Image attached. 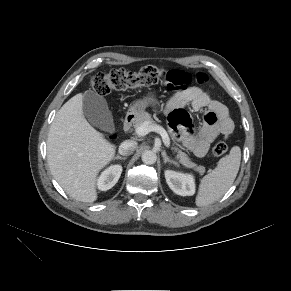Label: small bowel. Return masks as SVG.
Wrapping results in <instances>:
<instances>
[{
  "label": "small bowel",
  "instance_id": "small-bowel-1",
  "mask_svg": "<svg viewBox=\"0 0 291 291\" xmlns=\"http://www.w3.org/2000/svg\"><path fill=\"white\" fill-rule=\"evenodd\" d=\"M188 76L187 74L175 71ZM190 105L194 111L205 110L204 122L195 132L191 119L185 110ZM172 129L177 132L184 146L197 156H204L210 144L219 136L228 138L234 130V123L228 108L212 99L198 87H189L176 92L165 107Z\"/></svg>",
  "mask_w": 291,
  "mask_h": 291
}]
</instances>
